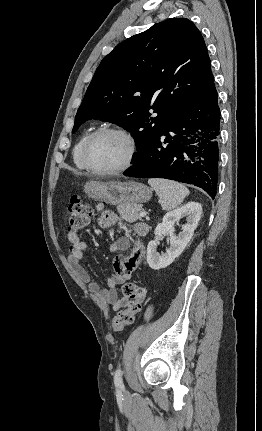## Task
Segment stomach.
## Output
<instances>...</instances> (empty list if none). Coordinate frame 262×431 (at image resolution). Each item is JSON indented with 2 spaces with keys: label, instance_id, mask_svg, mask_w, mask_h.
<instances>
[{
  "label": "stomach",
  "instance_id": "obj_1",
  "mask_svg": "<svg viewBox=\"0 0 262 431\" xmlns=\"http://www.w3.org/2000/svg\"><path fill=\"white\" fill-rule=\"evenodd\" d=\"M89 198L110 205H137L150 200L152 190L136 181H89L84 186Z\"/></svg>",
  "mask_w": 262,
  "mask_h": 431
}]
</instances>
